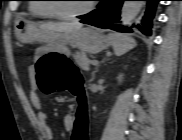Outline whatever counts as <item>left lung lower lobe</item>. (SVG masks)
Masks as SVG:
<instances>
[{
  "label": "left lung lower lobe",
  "mask_w": 182,
  "mask_h": 140,
  "mask_svg": "<svg viewBox=\"0 0 182 140\" xmlns=\"http://www.w3.org/2000/svg\"><path fill=\"white\" fill-rule=\"evenodd\" d=\"M148 7L145 16L142 20V26H128L119 21L120 9L123 0H102L98 5V9L89 13L86 18L81 20V23L93 25L103 29H112L119 32H133L139 30L140 32L151 35L152 18L158 0H147Z\"/></svg>",
  "instance_id": "1"
}]
</instances>
